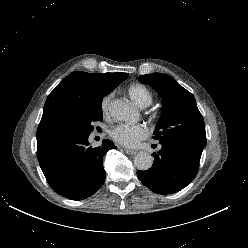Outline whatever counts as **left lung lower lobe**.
Segmentation results:
<instances>
[{"label": "left lung lower lobe", "mask_w": 248, "mask_h": 248, "mask_svg": "<svg viewBox=\"0 0 248 248\" xmlns=\"http://www.w3.org/2000/svg\"><path fill=\"white\" fill-rule=\"evenodd\" d=\"M158 153H153V166L146 171H138V178L151 191L172 194L190 184L195 178L200 158L174 144H161Z\"/></svg>", "instance_id": "obj_1"}]
</instances>
